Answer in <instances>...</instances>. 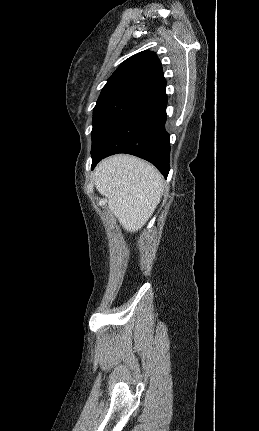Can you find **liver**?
<instances>
[{
    "instance_id": "liver-1",
    "label": "liver",
    "mask_w": 259,
    "mask_h": 431,
    "mask_svg": "<svg viewBox=\"0 0 259 431\" xmlns=\"http://www.w3.org/2000/svg\"><path fill=\"white\" fill-rule=\"evenodd\" d=\"M94 184L128 232H136L146 224L163 192V177L158 170L130 155L101 161L95 169Z\"/></svg>"
}]
</instances>
